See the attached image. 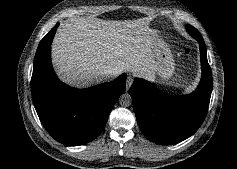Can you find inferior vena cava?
<instances>
[{"instance_id": "1", "label": "inferior vena cava", "mask_w": 237, "mask_h": 169, "mask_svg": "<svg viewBox=\"0 0 237 169\" xmlns=\"http://www.w3.org/2000/svg\"><path fill=\"white\" fill-rule=\"evenodd\" d=\"M119 72L115 69H106L101 72V78L104 81L110 80L118 76Z\"/></svg>"}]
</instances>
